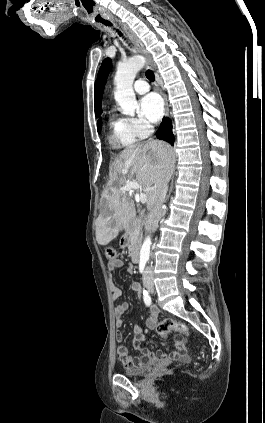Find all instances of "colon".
<instances>
[{
	"instance_id": "obj_1",
	"label": "colon",
	"mask_w": 265,
	"mask_h": 423,
	"mask_svg": "<svg viewBox=\"0 0 265 423\" xmlns=\"http://www.w3.org/2000/svg\"><path fill=\"white\" fill-rule=\"evenodd\" d=\"M105 255L109 262L115 261L118 258L117 251L112 247L106 248ZM156 330L159 335L166 337L172 331L186 333L188 331V327L184 323L177 322L172 319H165L156 326Z\"/></svg>"
}]
</instances>
